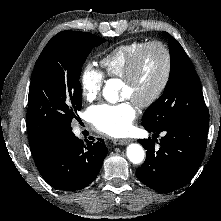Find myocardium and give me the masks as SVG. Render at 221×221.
Here are the masks:
<instances>
[{
  "instance_id": "myocardium-1",
  "label": "myocardium",
  "mask_w": 221,
  "mask_h": 221,
  "mask_svg": "<svg viewBox=\"0 0 221 221\" xmlns=\"http://www.w3.org/2000/svg\"><path fill=\"white\" fill-rule=\"evenodd\" d=\"M151 48H158L160 49L163 54H164V59H165V69H164V74L163 77L155 89V91L145 100L140 101L136 103L141 108H147L155 104L163 95L165 90L168 87V84L171 79L172 75V69H173V58H172V53L168 45L160 40H153L146 42L135 54V56L132 58L130 63L128 64V67L126 69V72L124 76L121 78L122 81L126 84H131L140 68L142 59L145 55V53L151 49Z\"/></svg>"
}]
</instances>
